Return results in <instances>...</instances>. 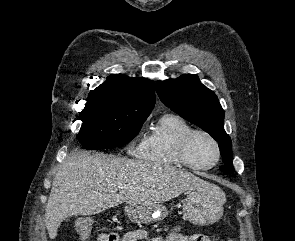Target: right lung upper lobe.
<instances>
[{"mask_svg":"<svg viewBox=\"0 0 295 241\" xmlns=\"http://www.w3.org/2000/svg\"><path fill=\"white\" fill-rule=\"evenodd\" d=\"M92 94H104L127 105L151 112L155 105L154 82L143 77L132 78L124 74H111Z\"/></svg>","mask_w":295,"mask_h":241,"instance_id":"1","label":"right lung upper lobe"}]
</instances>
